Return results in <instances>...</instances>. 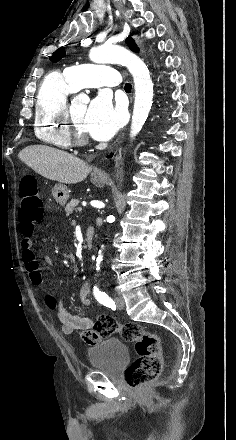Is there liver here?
<instances>
[{"instance_id": "6515ba94", "label": "liver", "mask_w": 236, "mask_h": 440, "mask_svg": "<svg viewBox=\"0 0 236 440\" xmlns=\"http://www.w3.org/2000/svg\"><path fill=\"white\" fill-rule=\"evenodd\" d=\"M18 157L39 175L65 184L82 182L92 170L74 155L44 145L28 146Z\"/></svg>"}]
</instances>
